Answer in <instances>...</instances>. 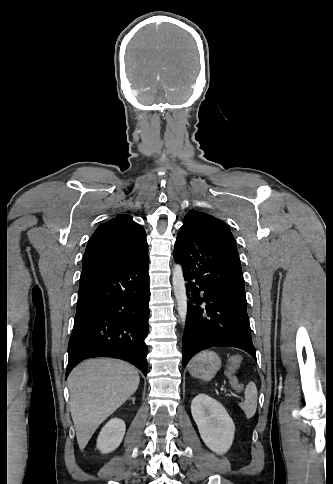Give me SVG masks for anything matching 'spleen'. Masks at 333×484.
<instances>
[{
	"instance_id": "obj_1",
	"label": "spleen",
	"mask_w": 333,
	"mask_h": 484,
	"mask_svg": "<svg viewBox=\"0 0 333 484\" xmlns=\"http://www.w3.org/2000/svg\"><path fill=\"white\" fill-rule=\"evenodd\" d=\"M233 386L237 385V381L231 382ZM245 400L239 403V407L244 411L247 419L253 417L257 409V388L255 383L249 382L244 391Z\"/></svg>"
}]
</instances>
